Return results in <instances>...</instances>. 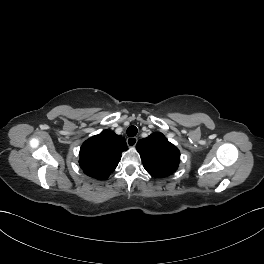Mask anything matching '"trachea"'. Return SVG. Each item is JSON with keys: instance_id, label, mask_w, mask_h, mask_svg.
I'll list each match as a JSON object with an SVG mask.
<instances>
[{"instance_id": "3493384b", "label": "trachea", "mask_w": 264, "mask_h": 264, "mask_svg": "<svg viewBox=\"0 0 264 264\" xmlns=\"http://www.w3.org/2000/svg\"><path fill=\"white\" fill-rule=\"evenodd\" d=\"M138 132V129L136 126H130L128 129H127V135L129 137H134Z\"/></svg>"}]
</instances>
